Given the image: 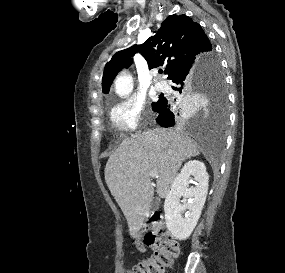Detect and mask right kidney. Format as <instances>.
<instances>
[{
    "label": "right kidney",
    "instance_id": "ca27d5eb",
    "mask_svg": "<svg viewBox=\"0 0 285 273\" xmlns=\"http://www.w3.org/2000/svg\"><path fill=\"white\" fill-rule=\"evenodd\" d=\"M194 183L196 186H190ZM209 176L198 160L184 164L166 196L164 212L167 229L178 240H186L200 218L208 193ZM186 202L181 204V197Z\"/></svg>",
    "mask_w": 285,
    "mask_h": 273
}]
</instances>
